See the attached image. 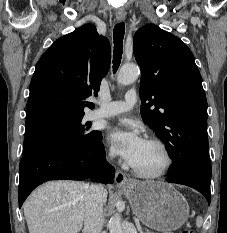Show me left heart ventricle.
<instances>
[{
    "mask_svg": "<svg viewBox=\"0 0 227 233\" xmlns=\"http://www.w3.org/2000/svg\"><path fill=\"white\" fill-rule=\"evenodd\" d=\"M164 162L161 150L156 145L146 142L132 165L142 171L154 172L161 169Z\"/></svg>",
    "mask_w": 227,
    "mask_h": 233,
    "instance_id": "left-heart-ventricle-1",
    "label": "left heart ventricle"
}]
</instances>
